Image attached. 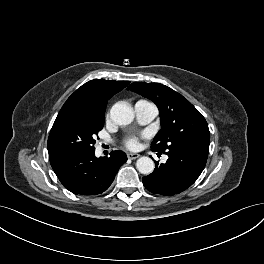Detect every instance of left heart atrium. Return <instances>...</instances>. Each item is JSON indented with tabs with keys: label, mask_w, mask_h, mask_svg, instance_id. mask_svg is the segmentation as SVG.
Segmentation results:
<instances>
[{
	"label": "left heart atrium",
	"mask_w": 264,
	"mask_h": 264,
	"mask_svg": "<svg viewBox=\"0 0 264 264\" xmlns=\"http://www.w3.org/2000/svg\"><path fill=\"white\" fill-rule=\"evenodd\" d=\"M124 144L127 148L135 150L139 147V139L135 136H130L125 139Z\"/></svg>",
	"instance_id": "1"
}]
</instances>
